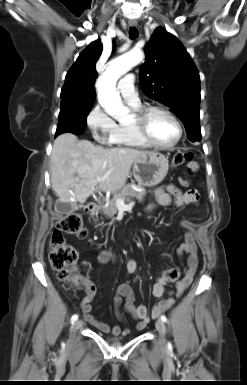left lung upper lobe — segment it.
Listing matches in <instances>:
<instances>
[{
  "instance_id": "1",
  "label": "left lung upper lobe",
  "mask_w": 247,
  "mask_h": 385,
  "mask_svg": "<svg viewBox=\"0 0 247 385\" xmlns=\"http://www.w3.org/2000/svg\"><path fill=\"white\" fill-rule=\"evenodd\" d=\"M140 68L143 92L172 109L185 126L188 138L201 140L199 72L180 41L157 28L145 46Z\"/></svg>"
}]
</instances>
